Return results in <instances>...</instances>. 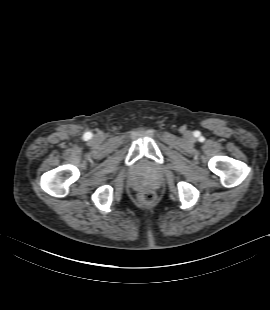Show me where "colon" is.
<instances>
[{
	"instance_id": "1",
	"label": "colon",
	"mask_w": 270,
	"mask_h": 310,
	"mask_svg": "<svg viewBox=\"0 0 270 310\" xmlns=\"http://www.w3.org/2000/svg\"><path fill=\"white\" fill-rule=\"evenodd\" d=\"M139 200L143 204H151L155 200V193L150 189H145L139 194Z\"/></svg>"
}]
</instances>
